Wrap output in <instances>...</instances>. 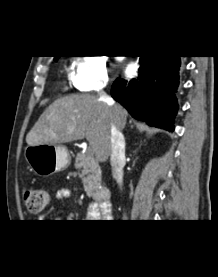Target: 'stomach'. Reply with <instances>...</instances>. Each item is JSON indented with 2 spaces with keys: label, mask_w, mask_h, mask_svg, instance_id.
I'll return each mask as SVG.
<instances>
[{
  "label": "stomach",
  "mask_w": 218,
  "mask_h": 277,
  "mask_svg": "<svg viewBox=\"0 0 218 277\" xmlns=\"http://www.w3.org/2000/svg\"><path fill=\"white\" fill-rule=\"evenodd\" d=\"M24 157L31 170L39 176H49L70 165L71 157L64 146L39 144L28 146Z\"/></svg>",
  "instance_id": "1"
}]
</instances>
